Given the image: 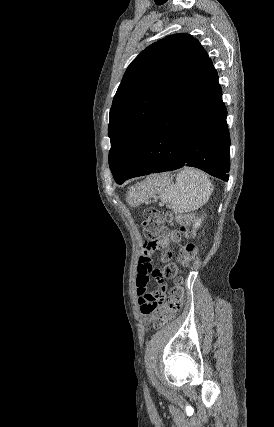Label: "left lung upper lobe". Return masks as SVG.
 Masks as SVG:
<instances>
[{"instance_id": "left-lung-upper-lobe-1", "label": "left lung upper lobe", "mask_w": 274, "mask_h": 427, "mask_svg": "<svg viewBox=\"0 0 274 427\" xmlns=\"http://www.w3.org/2000/svg\"><path fill=\"white\" fill-rule=\"evenodd\" d=\"M208 58L198 40L182 33L153 43L132 61L110 109L114 177L129 171L153 125Z\"/></svg>"}]
</instances>
